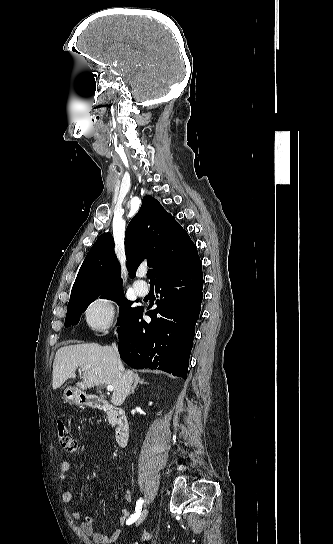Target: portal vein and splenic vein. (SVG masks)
<instances>
[{
    "instance_id": "obj_1",
    "label": "portal vein and splenic vein",
    "mask_w": 333,
    "mask_h": 544,
    "mask_svg": "<svg viewBox=\"0 0 333 544\" xmlns=\"http://www.w3.org/2000/svg\"><path fill=\"white\" fill-rule=\"evenodd\" d=\"M107 390H108L109 392H112V391L114 390V388H113V386L108 385V386H107Z\"/></svg>"
}]
</instances>
